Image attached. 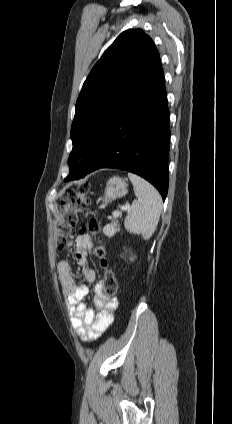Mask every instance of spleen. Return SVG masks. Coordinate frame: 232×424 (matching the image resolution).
Instances as JSON below:
<instances>
[{"label":"spleen","mask_w":232,"mask_h":424,"mask_svg":"<svg viewBox=\"0 0 232 424\" xmlns=\"http://www.w3.org/2000/svg\"><path fill=\"white\" fill-rule=\"evenodd\" d=\"M128 177L133 184L137 200L133 201L125 218V229L148 240L158 225L162 199L155 187L145 179L133 173H128Z\"/></svg>","instance_id":"obj_1"}]
</instances>
